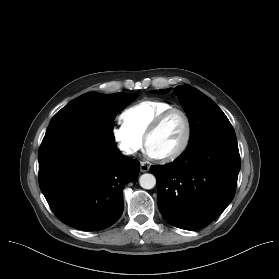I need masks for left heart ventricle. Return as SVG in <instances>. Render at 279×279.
I'll return each instance as SVG.
<instances>
[{
    "label": "left heart ventricle",
    "instance_id": "obj_1",
    "mask_svg": "<svg viewBox=\"0 0 279 279\" xmlns=\"http://www.w3.org/2000/svg\"><path fill=\"white\" fill-rule=\"evenodd\" d=\"M185 135V122L178 113L167 117L160 128L149 138L148 148L157 156L171 153L179 147Z\"/></svg>",
    "mask_w": 279,
    "mask_h": 279
}]
</instances>
